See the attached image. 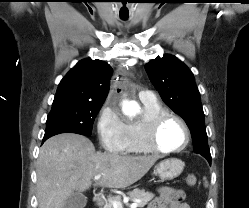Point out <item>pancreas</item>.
<instances>
[{"mask_svg":"<svg viewBox=\"0 0 249 208\" xmlns=\"http://www.w3.org/2000/svg\"><path fill=\"white\" fill-rule=\"evenodd\" d=\"M129 197L133 198V199H137L139 200L137 202L138 206L140 208H143L145 205H147V203L149 201H151L154 197V194L153 193H150V192H146L145 190H139V189H135L131 192L128 193ZM121 201V197L120 196H116V197H113L111 199H109L103 206V208H113V205H112V201Z\"/></svg>","mask_w":249,"mask_h":208,"instance_id":"pancreas-1","label":"pancreas"}]
</instances>
